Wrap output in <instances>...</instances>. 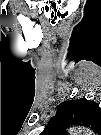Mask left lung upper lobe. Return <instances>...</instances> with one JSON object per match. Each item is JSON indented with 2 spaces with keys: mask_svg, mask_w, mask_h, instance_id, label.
Listing matches in <instances>:
<instances>
[{
  "mask_svg": "<svg viewBox=\"0 0 101 135\" xmlns=\"http://www.w3.org/2000/svg\"><path fill=\"white\" fill-rule=\"evenodd\" d=\"M93 104L84 98L76 101H65L58 106L56 116L60 117L67 124L78 123L86 116L87 109Z\"/></svg>",
  "mask_w": 101,
  "mask_h": 135,
  "instance_id": "5c2ea615",
  "label": "left lung upper lobe"
}]
</instances>
